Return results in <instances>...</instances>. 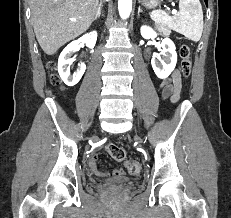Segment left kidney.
<instances>
[{"mask_svg": "<svg viewBox=\"0 0 231 218\" xmlns=\"http://www.w3.org/2000/svg\"><path fill=\"white\" fill-rule=\"evenodd\" d=\"M141 35L146 39H154L157 33L149 26H142ZM161 52L151 60L153 70L158 78L165 79L174 70L177 63L176 47L169 38H165L161 43Z\"/></svg>", "mask_w": 231, "mask_h": 218, "instance_id": "obj_1", "label": "left kidney"}]
</instances>
